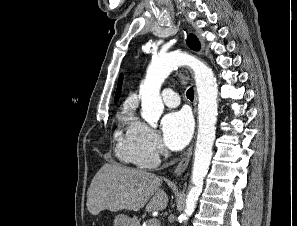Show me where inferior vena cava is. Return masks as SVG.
Returning <instances> with one entry per match:
<instances>
[{"instance_id":"inferior-vena-cava-1","label":"inferior vena cava","mask_w":297,"mask_h":226,"mask_svg":"<svg viewBox=\"0 0 297 226\" xmlns=\"http://www.w3.org/2000/svg\"><path fill=\"white\" fill-rule=\"evenodd\" d=\"M162 154H163L165 157H168V156H169V152H168V150H166V149H164V150L162 151Z\"/></svg>"}]
</instances>
